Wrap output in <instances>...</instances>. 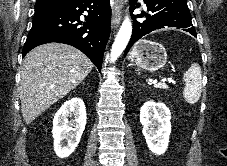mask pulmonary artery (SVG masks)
I'll use <instances>...</instances> for the list:
<instances>
[{"instance_id": "e3ab8cb5", "label": "pulmonary artery", "mask_w": 227, "mask_h": 166, "mask_svg": "<svg viewBox=\"0 0 227 166\" xmlns=\"http://www.w3.org/2000/svg\"><path fill=\"white\" fill-rule=\"evenodd\" d=\"M140 1H141L142 7H143V8H146L147 6H146V4L143 2V0H140Z\"/></svg>"}]
</instances>
